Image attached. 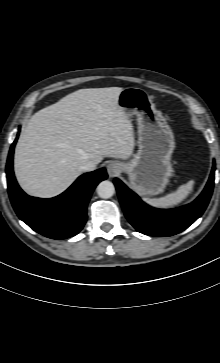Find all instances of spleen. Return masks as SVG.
I'll return each mask as SVG.
<instances>
[{
    "label": "spleen",
    "instance_id": "3e777b00",
    "mask_svg": "<svg viewBox=\"0 0 220 363\" xmlns=\"http://www.w3.org/2000/svg\"><path fill=\"white\" fill-rule=\"evenodd\" d=\"M194 181L190 180L187 184L181 185L175 192L161 198H144V201L155 208L167 209L181 203L188 197L193 189Z\"/></svg>",
    "mask_w": 220,
    "mask_h": 363
}]
</instances>
